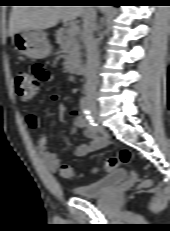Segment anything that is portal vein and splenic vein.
I'll return each mask as SVG.
<instances>
[{
    "mask_svg": "<svg viewBox=\"0 0 170 231\" xmlns=\"http://www.w3.org/2000/svg\"><path fill=\"white\" fill-rule=\"evenodd\" d=\"M69 32L72 34V35H76L78 32H79V27L78 25H76L75 23H71L69 25Z\"/></svg>",
    "mask_w": 170,
    "mask_h": 231,
    "instance_id": "18ae733b",
    "label": "portal vein and splenic vein"
}]
</instances>
